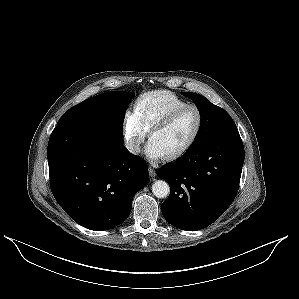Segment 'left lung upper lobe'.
I'll return each mask as SVG.
<instances>
[{"label": "left lung upper lobe", "mask_w": 299, "mask_h": 299, "mask_svg": "<svg viewBox=\"0 0 299 299\" xmlns=\"http://www.w3.org/2000/svg\"><path fill=\"white\" fill-rule=\"evenodd\" d=\"M182 94L195 101L201 116L199 131L190 148L200 146L225 126L234 123L224 109L212 104L204 96L192 92H182Z\"/></svg>", "instance_id": "left-lung-upper-lobe-1"}]
</instances>
